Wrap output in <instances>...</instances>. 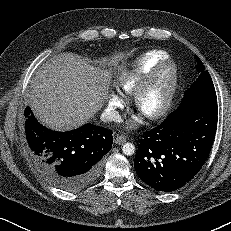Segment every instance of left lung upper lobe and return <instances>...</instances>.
Instances as JSON below:
<instances>
[{
  "label": "left lung upper lobe",
  "mask_w": 231,
  "mask_h": 231,
  "mask_svg": "<svg viewBox=\"0 0 231 231\" xmlns=\"http://www.w3.org/2000/svg\"><path fill=\"white\" fill-rule=\"evenodd\" d=\"M197 61V71L200 73L196 81L191 85V87L185 93L182 102L191 100V99H202L209 97H216L215 88L212 82V79L201 60L195 56Z\"/></svg>",
  "instance_id": "5c2ea615"
}]
</instances>
